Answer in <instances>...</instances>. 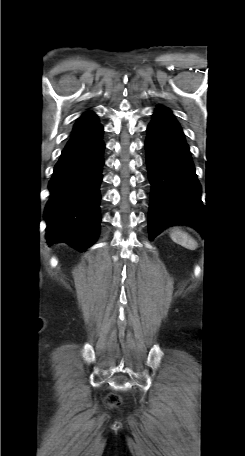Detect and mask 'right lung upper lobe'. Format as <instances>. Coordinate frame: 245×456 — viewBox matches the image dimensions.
Wrapping results in <instances>:
<instances>
[{"label":"right lung upper lobe","instance_id":"obj_1","mask_svg":"<svg viewBox=\"0 0 245 456\" xmlns=\"http://www.w3.org/2000/svg\"><path fill=\"white\" fill-rule=\"evenodd\" d=\"M101 127L93 112H85L74 125L71 138L66 147H76L90 142L99 134Z\"/></svg>","mask_w":245,"mask_h":456}]
</instances>
